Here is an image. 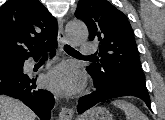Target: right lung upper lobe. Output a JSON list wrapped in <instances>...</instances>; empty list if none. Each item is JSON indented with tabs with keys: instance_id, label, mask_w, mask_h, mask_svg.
<instances>
[{
	"instance_id": "right-lung-upper-lobe-1",
	"label": "right lung upper lobe",
	"mask_w": 165,
	"mask_h": 120,
	"mask_svg": "<svg viewBox=\"0 0 165 120\" xmlns=\"http://www.w3.org/2000/svg\"><path fill=\"white\" fill-rule=\"evenodd\" d=\"M57 41V21L38 0H8L0 7V63L41 54Z\"/></svg>"
}]
</instances>
